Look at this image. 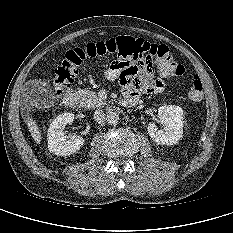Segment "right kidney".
Masks as SVG:
<instances>
[{
  "label": "right kidney",
  "instance_id": "right-kidney-1",
  "mask_svg": "<svg viewBox=\"0 0 233 233\" xmlns=\"http://www.w3.org/2000/svg\"><path fill=\"white\" fill-rule=\"evenodd\" d=\"M74 121L73 113H63L57 116L50 124L47 132L48 149L58 156H68L77 152L85 143L83 137L79 135L66 139L64 133L65 125Z\"/></svg>",
  "mask_w": 233,
  "mask_h": 233
}]
</instances>
